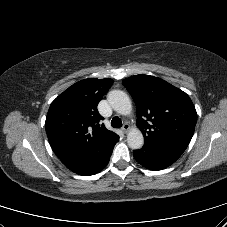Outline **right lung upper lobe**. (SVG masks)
Listing matches in <instances>:
<instances>
[{
    "label": "right lung upper lobe",
    "instance_id": "cb5924a9",
    "mask_svg": "<svg viewBox=\"0 0 227 227\" xmlns=\"http://www.w3.org/2000/svg\"><path fill=\"white\" fill-rule=\"evenodd\" d=\"M112 83L109 78L84 79L51 103L45 127L49 143L62 162L79 159L118 136L100 123L103 117L97 110Z\"/></svg>",
    "mask_w": 227,
    "mask_h": 227
}]
</instances>
